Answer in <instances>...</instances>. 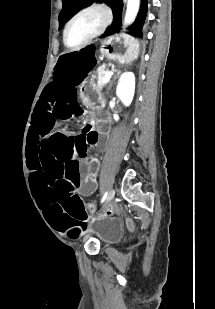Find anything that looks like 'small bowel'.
<instances>
[{"label":"small bowel","instance_id":"small-bowel-1","mask_svg":"<svg viewBox=\"0 0 215 309\" xmlns=\"http://www.w3.org/2000/svg\"><path fill=\"white\" fill-rule=\"evenodd\" d=\"M88 128L93 130L92 125H90ZM108 208L113 209V205H109L106 209H108Z\"/></svg>","mask_w":215,"mask_h":309}]
</instances>
